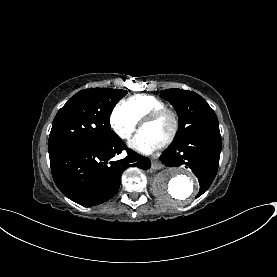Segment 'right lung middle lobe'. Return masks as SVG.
Listing matches in <instances>:
<instances>
[{
    "label": "right lung middle lobe",
    "mask_w": 277,
    "mask_h": 277,
    "mask_svg": "<svg viewBox=\"0 0 277 277\" xmlns=\"http://www.w3.org/2000/svg\"><path fill=\"white\" fill-rule=\"evenodd\" d=\"M127 91L90 88L79 91L58 111L49 135V154L62 148L100 144L116 138L109 117Z\"/></svg>",
    "instance_id": "right-lung-middle-lobe-1"
}]
</instances>
